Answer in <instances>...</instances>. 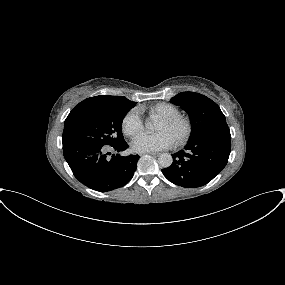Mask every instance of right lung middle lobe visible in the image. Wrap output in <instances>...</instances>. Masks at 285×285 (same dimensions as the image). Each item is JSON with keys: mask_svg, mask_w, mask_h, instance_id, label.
Returning a JSON list of instances; mask_svg holds the SVG:
<instances>
[{"mask_svg": "<svg viewBox=\"0 0 285 285\" xmlns=\"http://www.w3.org/2000/svg\"><path fill=\"white\" fill-rule=\"evenodd\" d=\"M114 105L87 110L64 125L63 146L93 144L115 146L124 142L121 126L127 112L134 107Z\"/></svg>", "mask_w": 285, "mask_h": 285, "instance_id": "1", "label": "right lung middle lobe"}]
</instances>
